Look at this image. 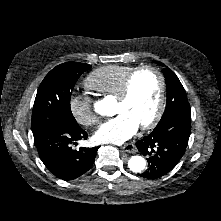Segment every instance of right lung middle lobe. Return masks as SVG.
I'll return each instance as SVG.
<instances>
[{"label":"right lung middle lobe","instance_id":"obj_1","mask_svg":"<svg viewBox=\"0 0 221 221\" xmlns=\"http://www.w3.org/2000/svg\"><path fill=\"white\" fill-rule=\"evenodd\" d=\"M90 68L91 65L88 64L66 62L56 66L45 76L33 106L32 131L58 123L78 125L70 108L71 93L81 74Z\"/></svg>","mask_w":221,"mask_h":221}]
</instances>
